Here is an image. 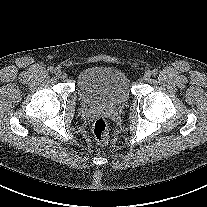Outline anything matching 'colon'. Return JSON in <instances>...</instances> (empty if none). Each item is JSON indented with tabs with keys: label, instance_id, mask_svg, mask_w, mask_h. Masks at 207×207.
I'll use <instances>...</instances> for the list:
<instances>
[{
	"label": "colon",
	"instance_id": "1",
	"mask_svg": "<svg viewBox=\"0 0 207 207\" xmlns=\"http://www.w3.org/2000/svg\"><path fill=\"white\" fill-rule=\"evenodd\" d=\"M93 134L95 138L102 143H107L109 140L108 124L105 119L98 118L93 124Z\"/></svg>",
	"mask_w": 207,
	"mask_h": 207
}]
</instances>
